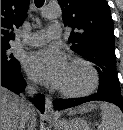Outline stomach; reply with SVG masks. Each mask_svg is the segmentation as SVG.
Masks as SVG:
<instances>
[{
  "mask_svg": "<svg viewBox=\"0 0 123 130\" xmlns=\"http://www.w3.org/2000/svg\"><path fill=\"white\" fill-rule=\"evenodd\" d=\"M55 130H92L90 124L83 118L59 120L52 122Z\"/></svg>",
  "mask_w": 123,
  "mask_h": 130,
  "instance_id": "obj_1",
  "label": "stomach"
}]
</instances>
